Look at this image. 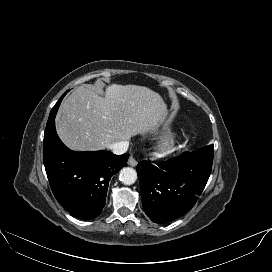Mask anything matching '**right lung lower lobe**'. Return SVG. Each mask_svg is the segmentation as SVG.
<instances>
[{
  "label": "right lung lower lobe",
  "mask_w": 272,
  "mask_h": 272,
  "mask_svg": "<svg viewBox=\"0 0 272 272\" xmlns=\"http://www.w3.org/2000/svg\"><path fill=\"white\" fill-rule=\"evenodd\" d=\"M66 93L52 108L44 132L43 160L57 201L73 216L91 220L106 203L110 178L127 163L129 154L108 151L76 152L68 149L55 129V115Z\"/></svg>",
  "instance_id": "98d812e1"
}]
</instances>
